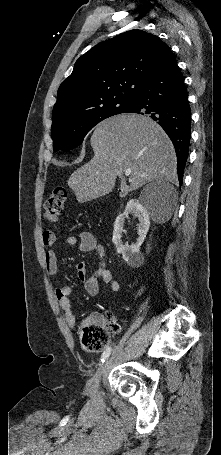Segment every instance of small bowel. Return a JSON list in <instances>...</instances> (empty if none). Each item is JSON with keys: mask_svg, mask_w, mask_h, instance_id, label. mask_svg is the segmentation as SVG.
I'll return each mask as SVG.
<instances>
[{"mask_svg": "<svg viewBox=\"0 0 221 455\" xmlns=\"http://www.w3.org/2000/svg\"><path fill=\"white\" fill-rule=\"evenodd\" d=\"M43 244L47 250L45 252V265L47 273L50 276H55L59 271L58 258L54 245L57 241L56 235L52 230H46L42 235ZM62 243L70 246L77 245L82 252L95 251L97 255V263L93 272L88 275L83 263L76 265L79 279L83 282L84 288L89 295L95 296L100 290L101 283L107 284L114 292L120 290V284L114 279L111 271L107 266V251L105 247L97 241V239L87 231H81L76 236H67L62 239ZM72 288L68 285L59 286L55 289V295L61 310L64 313L66 324L70 328H75L76 317L72 311L70 295ZM99 319V317L96 316Z\"/></svg>", "mask_w": 221, "mask_h": 455, "instance_id": "c3829d8e", "label": "small bowel"}]
</instances>
